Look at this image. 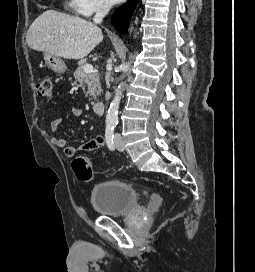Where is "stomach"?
I'll return each instance as SVG.
<instances>
[{
	"mask_svg": "<svg viewBox=\"0 0 255 272\" xmlns=\"http://www.w3.org/2000/svg\"><path fill=\"white\" fill-rule=\"evenodd\" d=\"M46 65L56 73H64L67 69L65 62L58 56L45 52L43 54Z\"/></svg>",
	"mask_w": 255,
	"mask_h": 272,
	"instance_id": "obj_1",
	"label": "stomach"
}]
</instances>
